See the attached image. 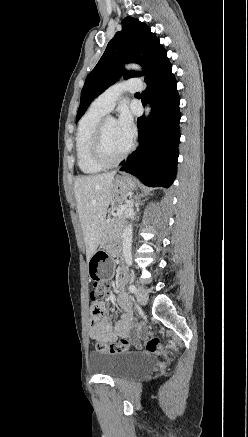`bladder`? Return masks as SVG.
I'll list each match as a JSON object with an SVG mask.
<instances>
[{"label":"bladder","mask_w":248,"mask_h":437,"mask_svg":"<svg viewBox=\"0 0 248 437\" xmlns=\"http://www.w3.org/2000/svg\"><path fill=\"white\" fill-rule=\"evenodd\" d=\"M89 363L96 374L116 380L151 371L155 366V359L143 352H91Z\"/></svg>","instance_id":"bladder-1"}]
</instances>
